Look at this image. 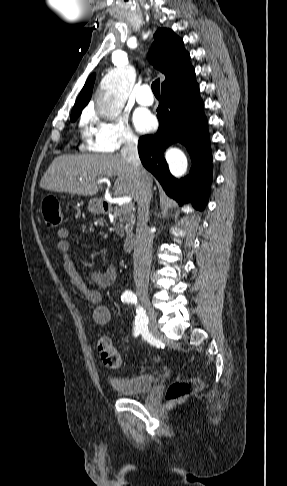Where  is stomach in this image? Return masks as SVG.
Masks as SVG:
<instances>
[{
    "instance_id": "stomach-1",
    "label": "stomach",
    "mask_w": 287,
    "mask_h": 486,
    "mask_svg": "<svg viewBox=\"0 0 287 486\" xmlns=\"http://www.w3.org/2000/svg\"><path fill=\"white\" fill-rule=\"evenodd\" d=\"M88 210L93 214H99L103 212L102 201L97 198H92L88 203Z\"/></svg>"
}]
</instances>
